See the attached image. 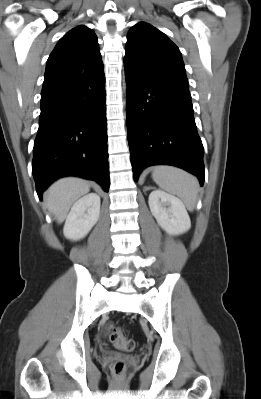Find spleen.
I'll return each instance as SVG.
<instances>
[{"instance_id":"spleen-1","label":"spleen","mask_w":261,"mask_h":399,"mask_svg":"<svg viewBox=\"0 0 261 399\" xmlns=\"http://www.w3.org/2000/svg\"><path fill=\"white\" fill-rule=\"evenodd\" d=\"M152 178L161 189L181 198L188 210H194L199 187L194 176L176 167L161 165L153 168Z\"/></svg>"}]
</instances>
